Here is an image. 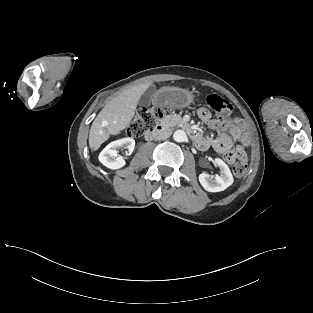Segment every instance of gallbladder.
Segmentation results:
<instances>
[{"mask_svg": "<svg viewBox=\"0 0 313 313\" xmlns=\"http://www.w3.org/2000/svg\"><path fill=\"white\" fill-rule=\"evenodd\" d=\"M154 93H155V87L154 86L149 87L146 93L142 96L141 102L143 104H148L151 101Z\"/></svg>", "mask_w": 313, "mask_h": 313, "instance_id": "1", "label": "gallbladder"}]
</instances>
